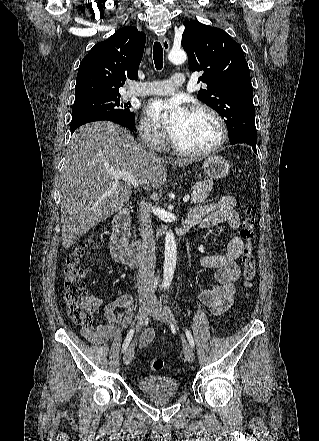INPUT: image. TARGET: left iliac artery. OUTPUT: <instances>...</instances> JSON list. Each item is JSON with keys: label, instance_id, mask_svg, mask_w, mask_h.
Masks as SVG:
<instances>
[{"label": "left iliac artery", "instance_id": "left-iliac-artery-1", "mask_svg": "<svg viewBox=\"0 0 319 441\" xmlns=\"http://www.w3.org/2000/svg\"><path fill=\"white\" fill-rule=\"evenodd\" d=\"M185 333H186V336H187V338L189 340V343H190L191 347L194 348L195 344H194V340H193V337L191 335V332L189 330L185 329Z\"/></svg>", "mask_w": 319, "mask_h": 441}]
</instances>
